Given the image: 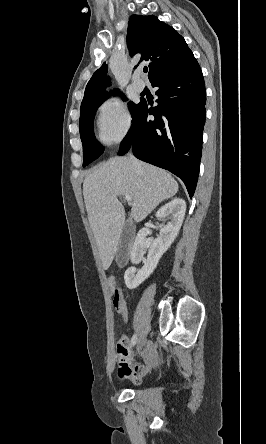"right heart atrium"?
<instances>
[{
	"label": "right heart atrium",
	"mask_w": 266,
	"mask_h": 444,
	"mask_svg": "<svg viewBox=\"0 0 266 444\" xmlns=\"http://www.w3.org/2000/svg\"><path fill=\"white\" fill-rule=\"evenodd\" d=\"M131 126L130 115L124 104L116 97L106 99L97 114L99 140L106 145H116L127 135Z\"/></svg>",
	"instance_id": "right-heart-atrium-1"
}]
</instances>
